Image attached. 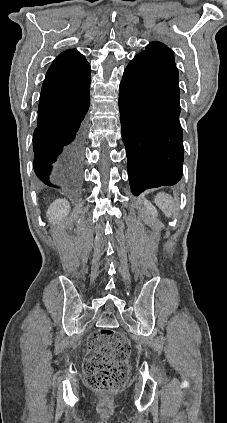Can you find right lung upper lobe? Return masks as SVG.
<instances>
[{"label":"right lung upper lobe","instance_id":"1","mask_svg":"<svg viewBox=\"0 0 227 423\" xmlns=\"http://www.w3.org/2000/svg\"><path fill=\"white\" fill-rule=\"evenodd\" d=\"M91 68L76 50L61 53L50 66L41 91L46 99L66 100L89 94Z\"/></svg>","mask_w":227,"mask_h":423}]
</instances>
